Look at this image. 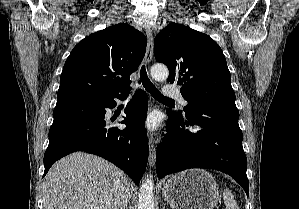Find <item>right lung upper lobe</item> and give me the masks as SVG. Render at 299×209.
<instances>
[{
  "label": "right lung upper lobe",
  "mask_w": 299,
  "mask_h": 209,
  "mask_svg": "<svg viewBox=\"0 0 299 209\" xmlns=\"http://www.w3.org/2000/svg\"><path fill=\"white\" fill-rule=\"evenodd\" d=\"M146 45V37L124 23L87 36L64 64L57 99L127 93L130 75L143 60Z\"/></svg>",
  "instance_id": "right-lung-upper-lobe-1"
}]
</instances>
